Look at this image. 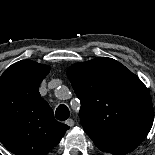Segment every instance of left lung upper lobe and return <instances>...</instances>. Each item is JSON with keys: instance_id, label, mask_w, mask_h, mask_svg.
Wrapping results in <instances>:
<instances>
[{"instance_id": "left-lung-upper-lobe-1", "label": "left lung upper lobe", "mask_w": 155, "mask_h": 155, "mask_svg": "<svg viewBox=\"0 0 155 155\" xmlns=\"http://www.w3.org/2000/svg\"><path fill=\"white\" fill-rule=\"evenodd\" d=\"M80 99V120L94 142L145 138L154 110L147 87L118 61L98 57L73 64L67 71Z\"/></svg>"}]
</instances>
